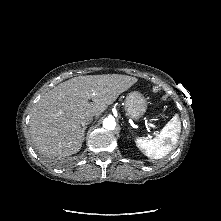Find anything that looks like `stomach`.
I'll return each mask as SVG.
<instances>
[{
	"label": "stomach",
	"mask_w": 221,
	"mask_h": 221,
	"mask_svg": "<svg viewBox=\"0 0 221 221\" xmlns=\"http://www.w3.org/2000/svg\"><path fill=\"white\" fill-rule=\"evenodd\" d=\"M124 108L129 118L139 120L147 110V101L140 92L132 91L125 99Z\"/></svg>",
	"instance_id": "1"
}]
</instances>
